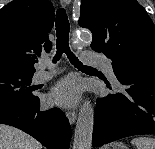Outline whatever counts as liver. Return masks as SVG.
Returning <instances> with one entry per match:
<instances>
[{"label":"liver","mask_w":155,"mask_h":149,"mask_svg":"<svg viewBox=\"0 0 155 149\" xmlns=\"http://www.w3.org/2000/svg\"><path fill=\"white\" fill-rule=\"evenodd\" d=\"M0 149H42V145L23 131L0 124Z\"/></svg>","instance_id":"6515ba94"}]
</instances>
